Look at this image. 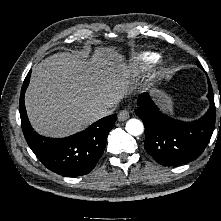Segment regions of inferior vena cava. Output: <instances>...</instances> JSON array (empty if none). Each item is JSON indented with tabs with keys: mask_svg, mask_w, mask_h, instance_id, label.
Segmentation results:
<instances>
[{
	"mask_svg": "<svg viewBox=\"0 0 221 221\" xmlns=\"http://www.w3.org/2000/svg\"><path fill=\"white\" fill-rule=\"evenodd\" d=\"M113 107H115L114 105H107V106H100V107H97L92 115L95 119H100L102 117H105V116H108L110 114H112L113 112Z\"/></svg>",
	"mask_w": 221,
	"mask_h": 221,
	"instance_id": "obj_1",
	"label": "inferior vena cava"
}]
</instances>
